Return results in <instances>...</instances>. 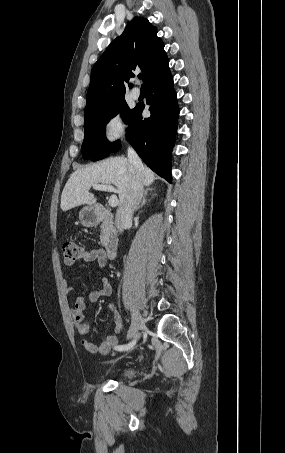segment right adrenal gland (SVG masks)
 <instances>
[{
    "instance_id": "obj_1",
    "label": "right adrenal gland",
    "mask_w": 285,
    "mask_h": 453,
    "mask_svg": "<svg viewBox=\"0 0 285 453\" xmlns=\"http://www.w3.org/2000/svg\"><path fill=\"white\" fill-rule=\"evenodd\" d=\"M153 190H154V189H152V188H151V189H146V190H145L144 196H143V199H142V202H141V204H140L139 206H137L136 210H139L141 207L144 206V204L147 202L146 197H147L148 192H149V191H153Z\"/></svg>"
}]
</instances>
